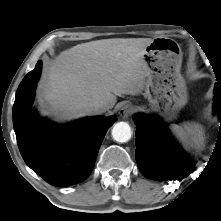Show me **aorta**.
Instances as JSON below:
<instances>
[{
    "label": "aorta",
    "instance_id": "aorta-1",
    "mask_svg": "<svg viewBox=\"0 0 221 221\" xmlns=\"http://www.w3.org/2000/svg\"><path fill=\"white\" fill-rule=\"evenodd\" d=\"M131 127L127 122H118L113 126L112 137L115 141L124 143L131 138Z\"/></svg>",
    "mask_w": 221,
    "mask_h": 221
}]
</instances>
